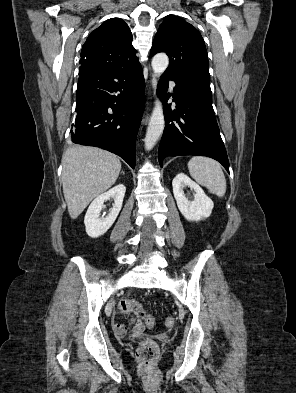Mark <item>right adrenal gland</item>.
<instances>
[{"mask_svg":"<svg viewBox=\"0 0 296 393\" xmlns=\"http://www.w3.org/2000/svg\"><path fill=\"white\" fill-rule=\"evenodd\" d=\"M123 175L125 174L124 171L121 172Z\"/></svg>","mask_w":296,"mask_h":393,"instance_id":"right-adrenal-gland-1","label":"right adrenal gland"}]
</instances>
